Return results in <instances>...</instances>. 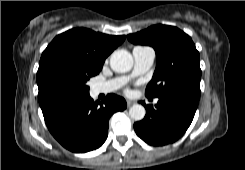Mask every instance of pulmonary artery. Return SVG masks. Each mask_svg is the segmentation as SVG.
Returning a JSON list of instances; mask_svg holds the SVG:
<instances>
[{"label":"pulmonary artery","mask_w":245,"mask_h":170,"mask_svg":"<svg viewBox=\"0 0 245 170\" xmlns=\"http://www.w3.org/2000/svg\"><path fill=\"white\" fill-rule=\"evenodd\" d=\"M133 57L135 61L133 75L145 73L152 66L155 59V52L152 48L146 46H137L133 49ZM127 78L119 77L106 82L96 84L94 90L96 93H109L119 89Z\"/></svg>","instance_id":"pulmonary-artery-1"}]
</instances>
